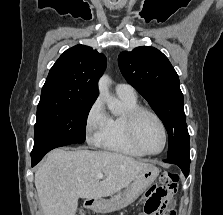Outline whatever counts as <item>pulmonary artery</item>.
Here are the masks:
<instances>
[{
  "instance_id": "obj_1",
  "label": "pulmonary artery",
  "mask_w": 223,
  "mask_h": 215,
  "mask_svg": "<svg viewBox=\"0 0 223 215\" xmlns=\"http://www.w3.org/2000/svg\"><path fill=\"white\" fill-rule=\"evenodd\" d=\"M115 92L119 97L136 98L135 90L128 84L119 83L115 86Z\"/></svg>"
}]
</instances>
